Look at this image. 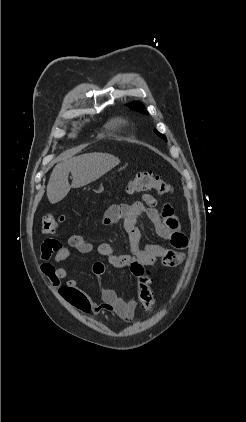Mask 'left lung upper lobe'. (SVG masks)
<instances>
[{"mask_svg": "<svg viewBox=\"0 0 246 422\" xmlns=\"http://www.w3.org/2000/svg\"><path fill=\"white\" fill-rule=\"evenodd\" d=\"M129 107H130V108H132V109H134V110H137V111H140V112H145V113H147V111L145 110L144 106H143L141 103H139V102L131 103V104L129 105ZM155 133H156L159 137H161V138H163L164 140H166V137H165L163 134L159 133L157 130H155Z\"/></svg>", "mask_w": 246, "mask_h": 422, "instance_id": "1", "label": "left lung upper lobe"}]
</instances>
